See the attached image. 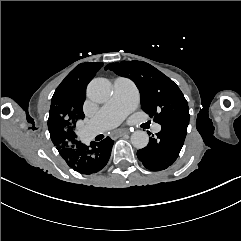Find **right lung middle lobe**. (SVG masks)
Here are the masks:
<instances>
[{
  "label": "right lung middle lobe",
  "instance_id": "obj_1",
  "mask_svg": "<svg viewBox=\"0 0 241 241\" xmlns=\"http://www.w3.org/2000/svg\"><path fill=\"white\" fill-rule=\"evenodd\" d=\"M103 63H81L76 66L55 90L50 110L63 116H72L81 98L86 94V87Z\"/></svg>",
  "mask_w": 241,
  "mask_h": 241
}]
</instances>
